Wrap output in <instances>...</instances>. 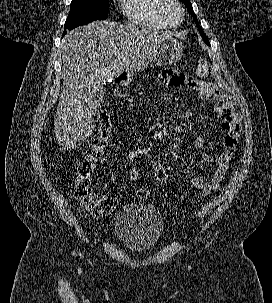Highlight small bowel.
I'll return each mask as SVG.
<instances>
[{"instance_id":"1","label":"small bowel","mask_w":272,"mask_h":303,"mask_svg":"<svg viewBox=\"0 0 272 303\" xmlns=\"http://www.w3.org/2000/svg\"><path fill=\"white\" fill-rule=\"evenodd\" d=\"M160 82L169 87H177L187 84L192 90L199 93L203 100H214L215 111L221 119V132L223 134L222 150L215 159V170L210 181L195 176L192 178V184L198 190L201 196L206 197L213 191L217 190L224 180L229 162L237 148L241 134V121L238 113L235 111L231 99L223 94L220 88L211 82H206L192 77H187L182 73H176L172 70H165L160 74ZM194 148L201 151L204 149V141L196 139ZM204 161H212V155L203 153ZM139 171L133 169L130 172V178L136 180Z\"/></svg>"}]
</instances>
